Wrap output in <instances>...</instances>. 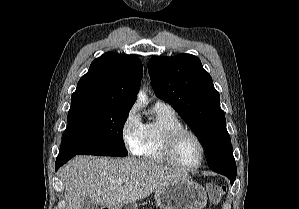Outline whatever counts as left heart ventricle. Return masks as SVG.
I'll use <instances>...</instances> for the list:
<instances>
[{
	"instance_id": "obj_1",
	"label": "left heart ventricle",
	"mask_w": 299,
	"mask_h": 209,
	"mask_svg": "<svg viewBox=\"0 0 299 209\" xmlns=\"http://www.w3.org/2000/svg\"><path fill=\"white\" fill-rule=\"evenodd\" d=\"M177 159L185 166H195L201 159V148L190 135H184L178 142Z\"/></svg>"
}]
</instances>
